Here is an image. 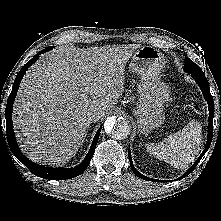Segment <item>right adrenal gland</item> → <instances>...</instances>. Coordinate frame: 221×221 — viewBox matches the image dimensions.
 Wrapping results in <instances>:
<instances>
[{"label": "right adrenal gland", "mask_w": 221, "mask_h": 221, "mask_svg": "<svg viewBox=\"0 0 221 221\" xmlns=\"http://www.w3.org/2000/svg\"><path fill=\"white\" fill-rule=\"evenodd\" d=\"M86 135H87V134H85L84 138L86 137ZM82 143H83V140H82Z\"/></svg>", "instance_id": "right-adrenal-gland-1"}]
</instances>
